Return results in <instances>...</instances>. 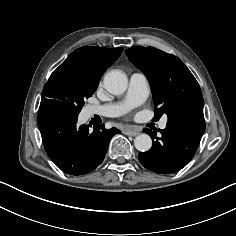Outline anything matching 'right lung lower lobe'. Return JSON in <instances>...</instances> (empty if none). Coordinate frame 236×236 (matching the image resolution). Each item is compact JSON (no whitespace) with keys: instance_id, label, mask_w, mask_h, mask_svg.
I'll return each instance as SVG.
<instances>
[{"instance_id":"1","label":"right lung lower lobe","mask_w":236,"mask_h":236,"mask_svg":"<svg viewBox=\"0 0 236 236\" xmlns=\"http://www.w3.org/2000/svg\"><path fill=\"white\" fill-rule=\"evenodd\" d=\"M78 114L65 103L47 99L41 101L38 126L45 151L55 165L71 175H83L98 167L107 152L110 139L119 134L116 128L106 130L97 124L77 126Z\"/></svg>"}]
</instances>
